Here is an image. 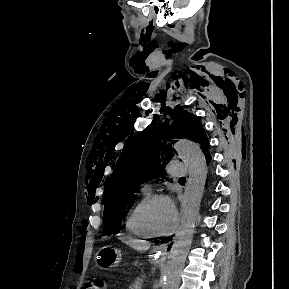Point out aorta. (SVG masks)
<instances>
[{
  "label": "aorta",
  "mask_w": 289,
  "mask_h": 289,
  "mask_svg": "<svg viewBox=\"0 0 289 289\" xmlns=\"http://www.w3.org/2000/svg\"><path fill=\"white\" fill-rule=\"evenodd\" d=\"M174 148L188 166L189 178L185 186L180 226L168 256L162 289H178L180 285L207 178V162L199 145L189 140H179Z\"/></svg>",
  "instance_id": "762f6f07"
}]
</instances>
